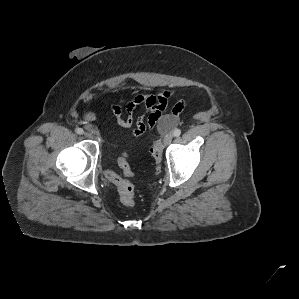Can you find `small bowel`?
Instances as JSON below:
<instances>
[{
  "label": "small bowel",
  "instance_id": "c3829d8e",
  "mask_svg": "<svg viewBox=\"0 0 299 299\" xmlns=\"http://www.w3.org/2000/svg\"><path fill=\"white\" fill-rule=\"evenodd\" d=\"M175 96L176 94L172 91H165L158 95L136 93L128 99H120L111 106L110 110L121 127H133L132 133L138 137L150 132L156 126L169 99ZM140 106H143L145 111L135 118L134 112ZM185 106V99L177 98L171 110L170 118L176 120ZM84 119L88 124V129L95 132L96 128L91 123L96 120V115L93 112H86Z\"/></svg>",
  "mask_w": 299,
  "mask_h": 299
}]
</instances>
